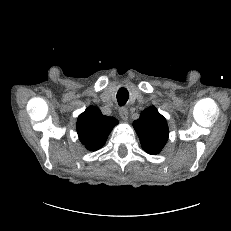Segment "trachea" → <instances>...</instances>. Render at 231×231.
<instances>
[{
  "mask_svg": "<svg viewBox=\"0 0 231 231\" xmlns=\"http://www.w3.org/2000/svg\"><path fill=\"white\" fill-rule=\"evenodd\" d=\"M129 98V93L126 88H120L117 92V101L120 106L125 105Z\"/></svg>",
  "mask_w": 231,
  "mask_h": 231,
  "instance_id": "3493384b",
  "label": "trachea"
}]
</instances>
